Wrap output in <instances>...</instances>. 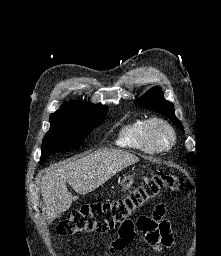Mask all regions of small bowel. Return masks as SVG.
Returning a JSON list of instances; mask_svg holds the SVG:
<instances>
[{
	"mask_svg": "<svg viewBox=\"0 0 221 256\" xmlns=\"http://www.w3.org/2000/svg\"><path fill=\"white\" fill-rule=\"evenodd\" d=\"M164 216L163 204L158 205L151 215L140 216L130 228L119 231L118 237L111 243L105 255H113L131 245L136 231L142 233L147 244L156 251L172 247L174 239L171 226Z\"/></svg>",
	"mask_w": 221,
	"mask_h": 256,
	"instance_id": "obj_1",
	"label": "small bowel"
}]
</instances>
